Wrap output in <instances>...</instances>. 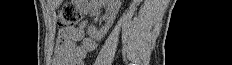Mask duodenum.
I'll use <instances>...</instances> for the list:
<instances>
[{
    "label": "duodenum",
    "instance_id": "410a0bca",
    "mask_svg": "<svg viewBox=\"0 0 232 65\" xmlns=\"http://www.w3.org/2000/svg\"><path fill=\"white\" fill-rule=\"evenodd\" d=\"M80 6L83 9V11H86V5L85 4L82 3Z\"/></svg>",
    "mask_w": 232,
    "mask_h": 65
}]
</instances>
